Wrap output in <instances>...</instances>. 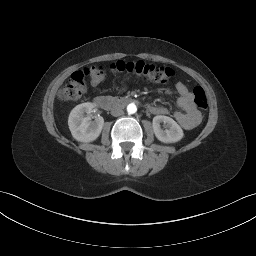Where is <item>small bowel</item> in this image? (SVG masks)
Wrapping results in <instances>:
<instances>
[{
	"mask_svg": "<svg viewBox=\"0 0 256 256\" xmlns=\"http://www.w3.org/2000/svg\"><path fill=\"white\" fill-rule=\"evenodd\" d=\"M175 89L178 94L177 104L181 111L175 112L174 118L184 129H193L201 121V114L194 104L193 95L188 87L182 82H177L175 84ZM148 108L153 114H168V109L163 106L150 105Z\"/></svg>",
	"mask_w": 256,
	"mask_h": 256,
	"instance_id": "small-bowel-1",
	"label": "small bowel"
}]
</instances>
